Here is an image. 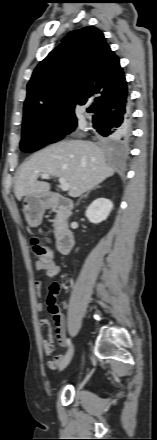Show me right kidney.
Instances as JSON below:
<instances>
[{
	"label": "right kidney",
	"mask_w": 157,
	"mask_h": 440,
	"mask_svg": "<svg viewBox=\"0 0 157 440\" xmlns=\"http://www.w3.org/2000/svg\"><path fill=\"white\" fill-rule=\"evenodd\" d=\"M113 203L106 198L95 199L87 208L85 215L91 223L98 224L107 219Z\"/></svg>",
	"instance_id": "right-kidney-1"
}]
</instances>
